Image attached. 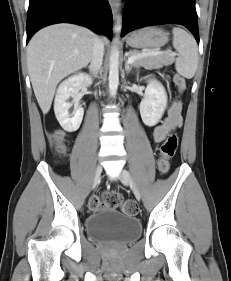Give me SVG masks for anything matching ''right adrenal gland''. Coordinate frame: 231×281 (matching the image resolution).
Wrapping results in <instances>:
<instances>
[{"instance_id":"obj_1","label":"right adrenal gland","mask_w":231,"mask_h":281,"mask_svg":"<svg viewBox=\"0 0 231 281\" xmlns=\"http://www.w3.org/2000/svg\"><path fill=\"white\" fill-rule=\"evenodd\" d=\"M88 69H89V71L91 72V68H90V66L88 67ZM92 73V72H91Z\"/></svg>"}]
</instances>
